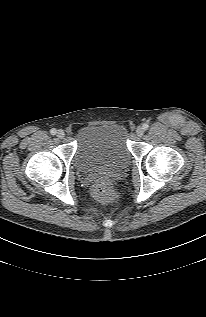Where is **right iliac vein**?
<instances>
[{"label": "right iliac vein", "mask_w": 206, "mask_h": 317, "mask_svg": "<svg viewBox=\"0 0 206 317\" xmlns=\"http://www.w3.org/2000/svg\"><path fill=\"white\" fill-rule=\"evenodd\" d=\"M57 137L59 138V139H63L64 137H65V132L63 131V130H58L57 131Z\"/></svg>", "instance_id": "63e3f726"}]
</instances>
